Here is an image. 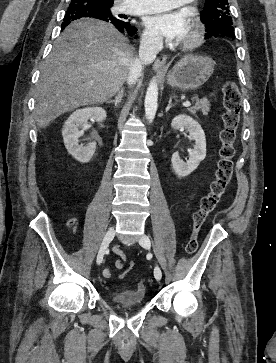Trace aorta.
<instances>
[{
	"mask_svg": "<svg viewBox=\"0 0 276 363\" xmlns=\"http://www.w3.org/2000/svg\"><path fill=\"white\" fill-rule=\"evenodd\" d=\"M158 84L156 80H152L145 96V115L149 122H152L155 118L158 107Z\"/></svg>",
	"mask_w": 276,
	"mask_h": 363,
	"instance_id": "1",
	"label": "aorta"
}]
</instances>
